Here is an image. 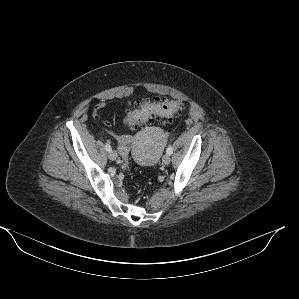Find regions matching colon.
Returning a JSON list of instances; mask_svg holds the SVG:
<instances>
[{"label": "colon", "mask_w": 299, "mask_h": 299, "mask_svg": "<svg viewBox=\"0 0 299 299\" xmlns=\"http://www.w3.org/2000/svg\"><path fill=\"white\" fill-rule=\"evenodd\" d=\"M184 103L177 100L165 98H154L152 100H142L137 108L129 116L131 126H145L153 122L156 118L170 121L175 115L185 112ZM129 145H125L121 153L122 167L128 170Z\"/></svg>", "instance_id": "colon-1"}]
</instances>
